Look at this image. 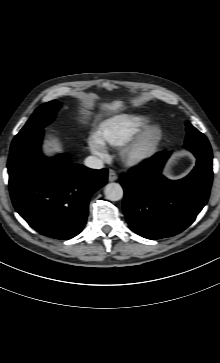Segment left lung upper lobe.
Segmentation results:
<instances>
[{"instance_id": "1", "label": "left lung upper lobe", "mask_w": 220, "mask_h": 363, "mask_svg": "<svg viewBox=\"0 0 220 363\" xmlns=\"http://www.w3.org/2000/svg\"><path fill=\"white\" fill-rule=\"evenodd\" d=\"M186 126H187L186 128L187 136L185 144L189 143L209 144L207 138L196 128H194L189 122H186Z\"/></svg>"}]
</instances>
